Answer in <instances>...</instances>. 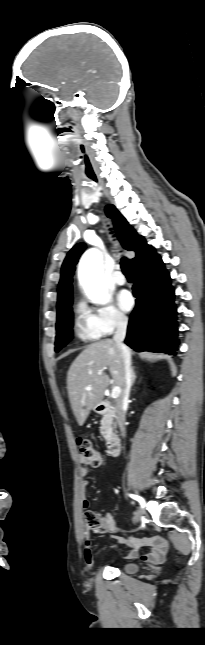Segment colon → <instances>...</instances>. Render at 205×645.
I'll return each instance as SVG.
<instances>
[{
	"label": "colon",
	"mask_w": 205,
	"mask_h": 645,
	"mask_svg": "<svg viewBox=\"0 0 205 645\" xmlns=\"http://www.w3.org/2000/svg\"><path fill=\"white\" fill-rule=\"evenodd\" d=\"M79 450L82 458L93 467L102 465L104 459L102 454L93 446L92 442L85 438L77 440ZM85 524L91 531L102 533L106 530V524L102 521L99 515L91 510L85 512Z\"/></svg>",
	"instance_id": "5ec220e1"
}]
</instances>
